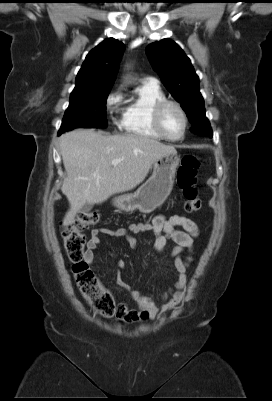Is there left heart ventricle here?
Here are the masks:
<instances>
[{
	"label": "left heart ventricle",
	"instance_id": "obj_1",
	"mask_svg": "<svg viewBox=\"0 0 272 401\" xmlns=\"http://www.w3.org/2000/svg\"><path fill=\"white\" fill-rule=\"evenodd\" d=\"M163 126L167 134L177 138L183 131V118L175 107H168L163 114Z\"/></svg>",
	"mask_w": 272,
	"mask_h": 401
}]
</instances>
